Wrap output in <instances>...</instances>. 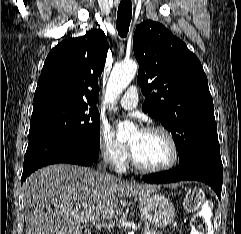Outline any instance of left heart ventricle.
Listing matches in <instances>:
<instances>
[{
	"label": "left heart ventricle",
	"mask_w": 241,
	"mask_h": 234,
	"mask_svg": "<svg viewBox=\"0 0 241 234\" xmlns=\"http://www.w3.org/2000/svg\"><path fill=\"white\" fill-rule=\"evenodd\" d=\"M137 160L148 167H160L167 164L172 157L171 147L164 136L159 133L136 131L129 139Z\"/></svg>",
	"instance_id": "b2bd125f"
}]
</instances>
